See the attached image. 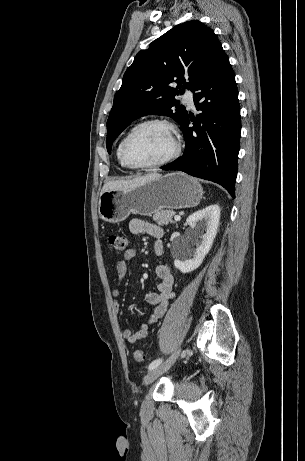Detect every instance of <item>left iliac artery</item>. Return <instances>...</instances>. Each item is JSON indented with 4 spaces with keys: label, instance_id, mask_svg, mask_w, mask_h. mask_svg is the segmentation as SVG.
Masks as SVG:
<instances>
[{
    "label": "left iliac artery",
    "instance_id": "1",
    "mask_svg": "<svg viewBox=\"0 0 305 461\" xmlns=\"http://www.w3.org/2000/svg\"><path fill=\"white\" fill-rule=\"evenodd\" d=\"M161 363H162V359H160V358H159V359H156V360H154V361H152V362L150 363V365H149L148 368H149V370H151V369H153V368L159 366Z\"/></svg>",
    "mask_w": 305,
    "mask_h": 461
}]
</instances>
